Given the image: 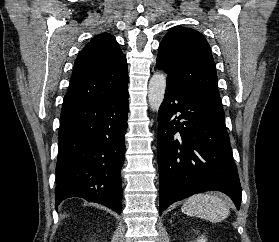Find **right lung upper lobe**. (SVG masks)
I'll list each match as a JSON object with an SVG mask.
<instances>
[{
    "label": "right lung upper lobe",
    "mask_w": 279,
    "mask_h": 242,
    "mask_svg": "<svg viewBox=\"0 0 279 242\" xmlns=\"http://www.w3.org/2000/svg\"><path fill=\"white\" fill-rule=\"evenodd\" d=\"M127 87L126 57L114 36L102 33L79 53L63 107L109 98Z\"/></svg>",
    "instance_id": "obj_1"
}]
</instances>
